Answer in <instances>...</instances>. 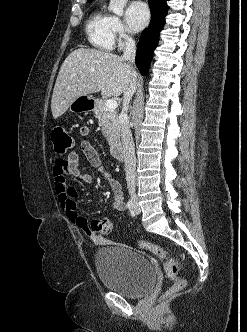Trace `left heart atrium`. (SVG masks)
Here are the masks:
<instances>
[{"mask_svg": "<svg viewBox=\"0 0 247 332\" xmlns=\"http://www.w3.org/2000/svg\"><path fill=\"white\" fill-rule=\"evenodd\" d=\"M150 18L148 6L142 1L130 3L126 10V21L129 27L135 31L143 29Z\"/></svg>", "mask_w": 247, "mask_h": 332, "instance_id": "1", "label": "left heart atrium"}]
</instances>
